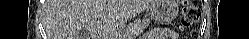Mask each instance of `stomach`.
Listing matches in <instances>:
<instances>
[{"label": "stomach", "instance_id": "1", "mask_svg": "<svg viewBox=\"0 0 249 39\" xmlns=\"http://www.w3.org/2000/svg\"><path fill=\"white\" fill-rule=\"evenodd\" d=\"M175 4L174 0H157L149 9L150 17L158 22L171 21L176 15Z\"/></svg>", "mask_w": 249, "mask_h": 39}]
</instances>
